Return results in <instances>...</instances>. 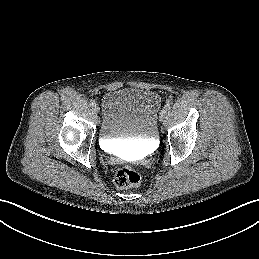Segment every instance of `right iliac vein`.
<instances>
[{
	"label": "right iliac vein",
	"mask_w": 259,
	"mask_h": 259,
	"mask_svg": "<svg viewBox=\"0 0 259 259\" xmlns=\"http://www.w3.org/2000/svg\"><path fill=\"white\" fill-rule=\"evenodd\" d=\"M99 110H100L99 106H98L97 104H95V105L93 106V111H94L95 113H98Z\"/></svg>",
	"instance_id": "obj_1"
}]
</instances>
